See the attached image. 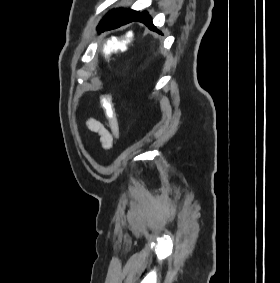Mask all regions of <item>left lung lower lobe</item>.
Masks as SVG:
<instances>
[{
	"label": "left lung lower lobe",
	"instance_id": "1",
	"mask_svg": "<svg viewBox=\"0 0 280 283\" xmlns=\"http://www.w3.org/2000/svg\"><path fill=\"white\" fill-rule=\"evenodd\" d=\"M133 21L141 22V23L145 24L146 26H148L151 30L160 33V31L158 29H156L155 26L153 25L152 18L148 15L147 12H141V13L138 12L137 14H135L134 16H132L130 18L114 19L112 21H109V22L102 24L97 29L99 30V32L105 31V30H111V29L118 28L122 25H125L127 23L133 22Z\"/></svg>",
	"mask_w": 280,
	"mask_h": 283
}]
</instances>
